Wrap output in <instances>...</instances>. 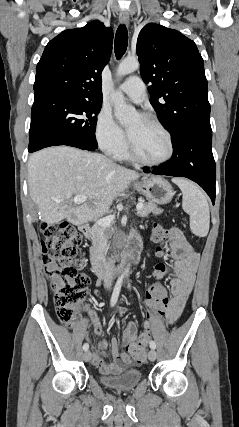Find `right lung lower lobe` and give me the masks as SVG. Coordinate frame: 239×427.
<instances>
[{
  "label": "right lung lower lobe",
  "mask_w": 239,
  "mask_h": 427,
  "mask_svg": "<svg viewBox=\"0 0 239 427\" xmlns=\"http://www.w3.org/2000/svg\"><path fill=\"white\" fill-rule=\"evenodd\" d=\"M69 146H71V145H69ZM73 147H77V146H73ZM97 147H98V145L96 147H94V149H96ZM77 148H80V147H77ZM80 149H84V148H80ZM94 149H92V150H94ZM85 150H88V149H85ZM35 151H37V150H29L30 153L35 152Z\"/></svg>",
  "instance_id": "right-lung-lower-lobe-1"
}]
</instances>
